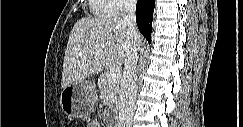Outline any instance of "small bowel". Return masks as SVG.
Masks as SVG:
<instances>
[{"mask_svg": "<svg viewBox=\"0 0 243 127\" xmlns=\"http://www.w3.org/2000/svg\"><path fill=\"white\" fill-rule=\"evenodd\" d=\"M88 127H98V124L96 122H90Z\"/></svg>", "mask_w": 243, "mask_h": 127, "instance_id": "small-bowel-1", "label": "small bowel"}]
</instances>
